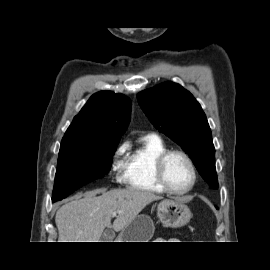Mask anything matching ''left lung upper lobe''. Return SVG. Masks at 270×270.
Masks as SVG:
<instances>
[{
  "instance_id": "5c2ea615",
  "label": "left lung upper lobe",
  "mask_w": 270,
  "mask_h": 270,
  "mask_svg": "<svg viewBox=\"0 0 270 270\" xmlns=\"http://www.w3.org/2000/svg\"><path fill=\"white\" fill-rule=\"evenodd\" d=\"M137 99L153 125L177 142L203 179L218 188L211 130L192 94L179 84L165 82L138 93Z\"/></svg>"
}]
</instances>
